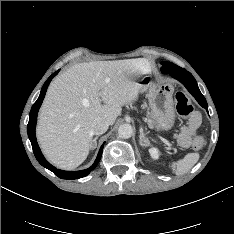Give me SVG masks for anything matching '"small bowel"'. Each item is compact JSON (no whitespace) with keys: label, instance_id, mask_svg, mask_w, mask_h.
Listing matches in <instances>:
<instances>
[{"label":"small bowel","instance_id":"obj_1","mask_svg":"<svg viewBox=\"0 0 234 234\" xmlns=\"http://www.w3.org/2000/svg\"><path fill=\"white\" fill-rule=\"evenodd\" d=\"M200 123V114L195 113L194 118L189 121V124L181 128L178 136V142L182 147H188L190 145L191 140L195 136Z\"/></svg>","mask_w":234,"mask_h":234}]
</instances>
